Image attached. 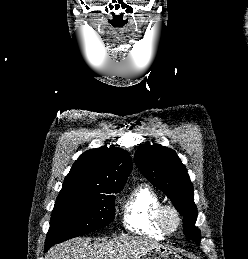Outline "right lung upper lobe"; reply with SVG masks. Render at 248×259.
Wrapping results in <instances>:
<instances>
[{"instance_id":"1","label":"right lung upper lobe","mask_w":248,"mask_h":259,"mask_svg":"<svg viewBox=\"0 0 248 259\" xmlns=\"http://www.w3.org/2000/svg\"><path fill=\"white\" fill-rule=\"evenodd\" d=\"M131 170L127 151L107 147L90 149L75 161L62 188L123 189Z\"/></svg>"}]
</instances>
